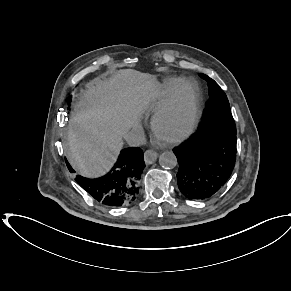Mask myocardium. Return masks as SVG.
<instances>
[{"label":"myocardium","instance_id":"f54148a6","mask_svg":"<svg viewBox=\"0 0 291 291\" xmlns=\"http://www.w3.org/2000/svg\"><path fill=\"white\" fill-rule=\"evenodd\" d=\"M181 104L188 108L187 126L177 135L162 137L159 133L161 123L167 119ZM201 116V92L198 84L192 79L181 81L168 95L152 119L154 134L168 144H177L187 139L198 126Z\"/></svg>","mask_w":291,"mask_h":291}]
</instances>
